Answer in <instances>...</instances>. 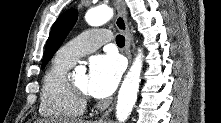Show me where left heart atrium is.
<instances>
[{"mask_svg": "<svg viewBox=\"0 0 221 123\" xmlns=\"http://www.w3.org/2000/svg\"><path fill=\"white\" fill-rule=\"evenodd\" d=\"M122 73L120 59L112 54L98 55L89 65V91L91 95L104 98L116 89Z\"/></svg>", "mask_w": 221, "mask_h": 123, "instance_id": "obj_1", "label": "left heart atrium"}]
</instances>
